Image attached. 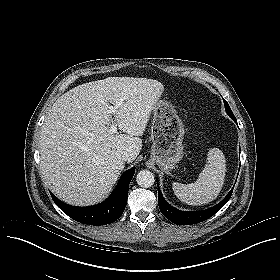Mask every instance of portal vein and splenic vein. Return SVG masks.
<instances>
[{"label":"portal vein and splenic vein","instance_id":"portal-vein-and-splenic-vein-1","mask_svg":"<svg viewBox=\"0 0 280 280\" xmlns=\"http://www.w3.org/2000/svg\"><path fill=\"white\" fill-rule=\"evenodd\" d=\"M116 109H117L116 106H109L110 112L113 113L114 115H115V113H116ZM109 132H110L111 134H114V133L117 132V125H116L114 122L112 123Z\"/></svg>","mask_w":280,"mask_h":280}]
</instances>
